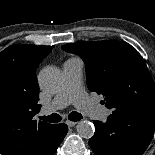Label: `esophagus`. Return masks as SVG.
Segmentation results:
<instances>
[{"mask_svg": "<svg viewBox=\"0 0 155 155\" xmlns=\"http://www.w3.org/2000/svg\"><path fill=\"white\" fill-rule=\"evenodd\" d=\"M66 124H67L69 127H73V126H75V125L77 124V122L67 120V121H66Z\"/></svg>", "mask_w": 155, "mask_h": 155, "instance_id": "obj_1", "label": "esophagus"}]
</instances>
